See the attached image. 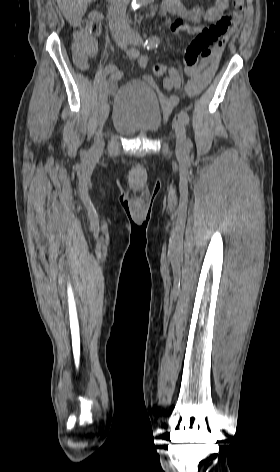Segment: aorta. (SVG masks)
Instances as JSON below:
<instances>
[{"label": "aorta", "mask_w": 280, "mask_h": 472, "mask_svg": "<svg viewBox=\"0 0 280 472\" xmlns=\"http://www.w3.org/2000/svg\"><path fill=\"white\" fill-rule=\"evenodd\" d=\"M151 0H133L132 2V8L136 9L140 7L141 5L150 2Z\"/></svg>", "instance_id": "aorta-1"}]
</instances>
